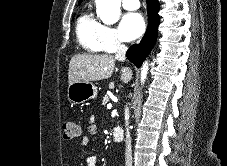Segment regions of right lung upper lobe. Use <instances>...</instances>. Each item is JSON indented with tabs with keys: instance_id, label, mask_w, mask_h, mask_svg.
Masks as SVG:
<instances>
[{
	"instance_id": "right-lung-upper-lobe-1",
	"label": "right lung upper lobe",
	"mask_w": 227,
	"mask_h": 166,
	"mask_svg": "<svg viewBox=\"0 0 227 166\" xmlns=\"http://www.w3.org/2000/svg\"><path fill=\"white\" fill-rule=\"evenodd\" d=\"M82 2V0H79V4Z\"/></svg>"
}]
</instances>
